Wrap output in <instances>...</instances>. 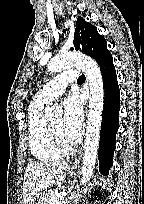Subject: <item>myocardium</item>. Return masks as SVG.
Masks as SVG:
<instances>
[{
  "instance_id": "1",
  "label": "myocardium",
  "mask_w": 144,
  "mask_h": 204,
  "mask_svg": "<svg viewBox=\"0 0 144 204\" xmlns=\"http://www.w3.org/2000/svg\"><path fill=\"white\" fill-rule=\"evenodd\" d=\"M48 128L52 142L60 154H70L75 150V144L73 142H66L51 124H48Z\"/></svg>"
}]
</instances>
